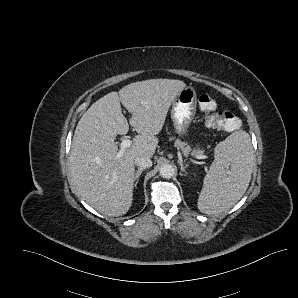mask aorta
Here are the masks:
<instances>
[{"label":"aorta","mask_w":298,"mask_h":298,"mask_svg":"<svg viewBox=\"0 0 298 298\" xmlns=\"http://www.w3.org/2000/svg\"><path fill=\"white\" fill-rule=\"evenodd\" d=\"M159 174L162 178L169 179L174 176L175 168L170 163H164L160 166Z\"/></svg>","instance_id":"1"}]
</instances>
